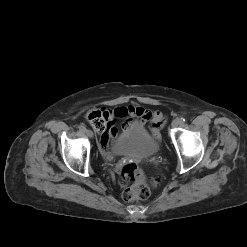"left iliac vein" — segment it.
<instances>
[{"instance_id": "1", "label": "left iliac vein", "mask_w": 247, "mask_h": 247, "mask_svg": "<svg viewBox=\"0 0 247 247\" xmlns=\"http://www.w3.org/2000/svg\"><path fill=\"white\" fill-rule=\"evenodd\" d=\"M179 120L178 119H175V120H173L172 121V124H171V126L173 127V128H176V127H178L179 126Z\"/></svg>"}]
</instances>
